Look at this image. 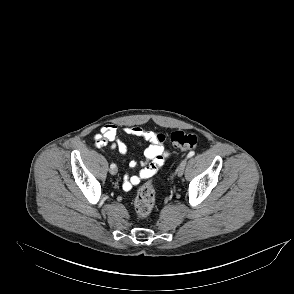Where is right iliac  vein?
Returning a JSON list of instances; mask_svg holds the SVG:
<instances>
[{
    "label": "right iliac vein",
    "instance_id": "63e3f726",
    "mask_svg": "<svg viewBox=\"0 0 294 294\" xmlns=\"http://www.w3.org/2000/svg\"><path fill=\"white\" fill-rule=\"evenodd\" d=\"M109 172H110L111 175H116L117 172H118V169L116 167L110 168Z\"/></svg>",
    "mask_w": 294,
    "mask_h": 294
}]
</instances>
